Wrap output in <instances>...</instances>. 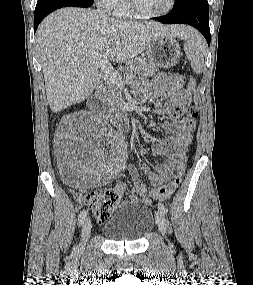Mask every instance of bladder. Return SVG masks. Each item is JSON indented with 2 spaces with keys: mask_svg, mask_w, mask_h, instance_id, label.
<instances>
[{
  "mask_svg": "<svg viewBox=\"0 0 253 285\" xmlns=\"http://www.w3.org/2000/svg\"><path fill=\"white\" fill-rule=\"evenodd\" d=\"M153 225L154 215L149 207L124 202L114 209L101 230L112 241L134 242L143 239Z\"/></svg>",
  "mask_w": 253,
  "mask_h": 285,
  "instance_id": "31cf9c89",
  "label": "bladder"
}]
</instances>
